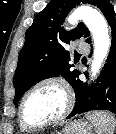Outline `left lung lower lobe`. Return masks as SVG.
Masks as SVG:
<instances>
[{
    "mask_svg": "<svg viewBox=\"0 0 116 134\" xmlns=\"http://www.w3.org/2000/svg\"><path fill=\"white\" fill-rule=\"evenodd\" d=\"M105 17L112 30V44L104 69L96 83L91 86H87L76 78L72 85L76 102L67 118L93 110H109L116 114V19L114 9H110Z\"/></svg>",
    "mask_w": 116,
    "mask_h": 134,
    "instance_id": "1",
    "label": "left lung lower lobe"
}]
</instances>
